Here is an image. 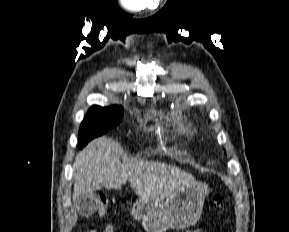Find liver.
I'll return each mask as SVG.
<instances>
[{
    "label": "liver",
    "mask_w": 289,
    "mask_h": 232,
    "mask_svg": "<svg viewBox=\"0 0 289 232\" xmlns=\"http://www.w3.org/2000/svg\"><path fill=\"white\" fill-rule=\"evenodd\" d=\"M122 152L117 141L99 137L76 155L74 204L81 196H93L102 188L121 189L127 181L140 198L156 203L195 184L191 174L164 163L143 160L121 163Z\"/></svg>",
    "instance_id": "6515ba94"
}]
</instances>
